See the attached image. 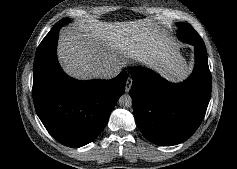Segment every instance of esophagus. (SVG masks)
Returning a JSON list of instances; mask_svg holds the SVG:
<instances>
[{"label": "esophagus", "mask_w": 237, "mask_h": 169, "mask_svg": "<svg viewBox=\"0 0 237 169\" xmlns=\"http://www.w3.org/2000/svg\"><path fill=\"white\" fill-rule=\"evenodd\" d=\"M127 86H126V92L130 90V87L132 85V79L130 77L127 78Z\"/></svg>", "instance_id": "1"}]
</instances>
